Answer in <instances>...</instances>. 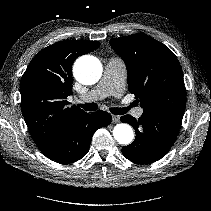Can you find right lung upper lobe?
Here are the masks:
<instances>
[{
  "mask_svg": "<svg viewBox=\"0 0 211 211\" xmlns=\"http://www.w3.org/2000/svg\"><path fill=\"white\" fill-rule=\"evenodd\" d=\"M100 46L98 41L66 40L41 50L29 63L20 82L21 110L39 149L51 142L75 116L84 111L67 107L72 94L74 60Z\"/></svg>",
  "mask_w": 211,
  "mask_h": 211,
  "instance_id": "1",
  "label": "right lung upper lobe"
}]
</instances>
